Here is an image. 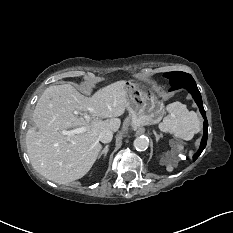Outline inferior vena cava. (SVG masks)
<instances>
[{
    "mask_svg": "<svg viewBox=\"0 0 233 233\" xmlns=\"http://www.w3.org/2000/svg\"><path fill=\"white\" fill-rule=\"evenodd\" d=\"M112 138H113V132L109 129H105L99 134V140L102 143H109L111 142Z\"/></svg>",
    "mask_w": 233,
    "mask_h": 233,
    "instance_id": "602c4592",
    "label": "inferior vena cava"
}]
</instances>
